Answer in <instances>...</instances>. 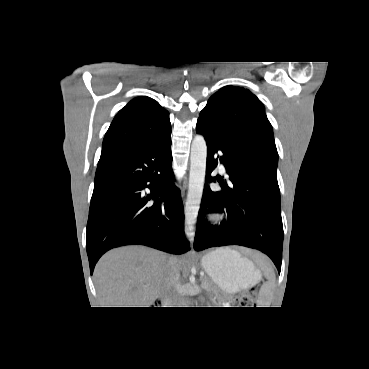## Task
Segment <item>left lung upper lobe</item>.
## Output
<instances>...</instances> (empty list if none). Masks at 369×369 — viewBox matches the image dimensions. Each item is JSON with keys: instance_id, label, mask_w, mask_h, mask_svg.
<instances>
[{"instance_id": "obj_1", "label": "left lung upper lobe", "mask_w": 369, "mask_h": 369, "mask_svg": "<svg viewBox=\"0 0 369 369\" xmlns=\"http://www.w3.org/2000/svg\"><path fill=\"white\" fill-rule=\"evenodd\" d=\"M199 120L207 123L229 145L252 155L258 169L268 171L277 181L278 153L272 126L262 102L250 91L225 86L211 96Z\"/></svg>"}]
</instances>
